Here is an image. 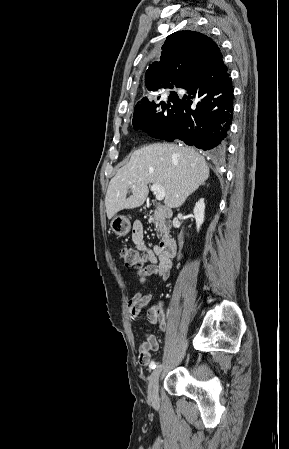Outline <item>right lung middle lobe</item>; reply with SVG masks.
<instances>
[{
    "label": "right lung middle lobe",
    "instance_id": "right-lung-middle-lobe-1",
    "mask_svg": "<svg viewBox=\"0 0 289 449\" xmlns=\"http://www.w3.org/2000/svg\"><path fill=\"white\" fill-rule=\"evenodd\" d=\"M178 102L175 92L169 95L168 102H158L153 97L140 101L134 110V129H142L152 137L159 135L172 122Z\"/></svg>",
    "mask_w": 289,
    "mask_h": 449
}]
</instances>
